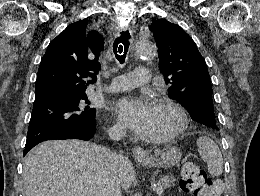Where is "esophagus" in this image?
Listing matches in <instances>:
<instances>
[{
    "mask_svg": "<svg viewBox=\"0 0 260 196\" xmlns=\"http://www.w3.org/2000/svg\"><path fill=\"white\" fill-rule=\"evenodd\" d=\"M119 31H128L127 28H123L120 29ZM130 40H133V33L130 32ZM133 155L135 159H146L148 157L147 153L145 152V150L139 146H136L135 148H133Z\"/></svg>",
    "mask_w": 260,
    "mask_h": 196,
    "instance_id": "obj_1",
    "label": "esophagus"
}]
</instances>
